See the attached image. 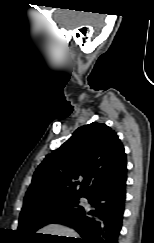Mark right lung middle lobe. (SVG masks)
Returning <instances> with one entry per match:
<instances>
[{
    "label": "right lung middle lobe",
    "instance_id": "right-lung-middle-lobe-1",
    "mask_svg": "<svg viewBox=\"0 0 154 243\" xmlns=\"http://www.w3.org/2000/svg\"><path fill=\"white\" fill-rule=\"evenodd\" d=\"M84 196L64 195L23 206L19 217L18 232L24 238L32 237L41 227L55 223L59 218L82 208L79 199Z\"/></svg>",
    "mask_w": 154,
    "mask_h": 243
}]
</instances>
